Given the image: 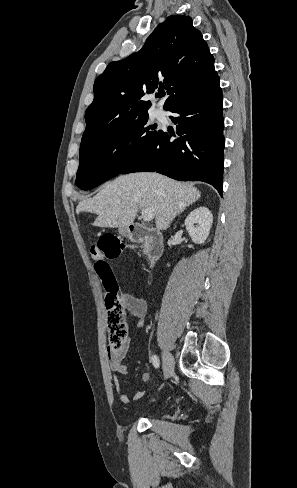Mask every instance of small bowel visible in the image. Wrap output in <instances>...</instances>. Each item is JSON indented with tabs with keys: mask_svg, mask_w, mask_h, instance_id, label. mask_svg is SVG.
<instances>
[{
	"mask_svg": "<svg viewBox=\"0 0 297 488\" xmlns=\"http://www.w3.org/2000/svg\"><path fill=\"white\" fill-rule=\"evenodd\" d=\"M122 300L125 309L132 314L136 320L138 327L142 328L145 323V316L147 311V302L142 297H137L130 293H122ZM130 342L128 338H125L122 348L118 353H113L110 349L108 350V362L110 369L113 373V384L115 391L118 395L120 402L124 404H130L133 401L141 399L145 395V391H138L133 396H128L123 393L118 376L125 375L128 373L127 365L123 364L122 361L126 357L129 350ZM150 374L148 370H144L141 375V381L143 383L148 382Z\"/></svg>",
	"mask_w": 297,
	"mask_h": 488,
	"instance_id": "c3829d8e",
	"label": "small bowel"
}]
</instances>
